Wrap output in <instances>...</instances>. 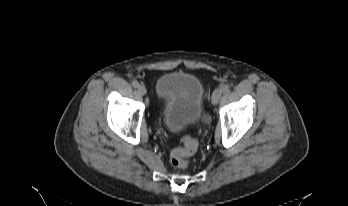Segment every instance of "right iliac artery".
Returning <instances> with one entry per match:
<instances>
[{"label":"right iliac artery","mask_w":348,"mask_h":206,"mask_svg":"<svg viewBox=\"0 0 348 206\" xmlns=\"http://www.w3.org/2000/svg\"><path fill=\"white\" fill-rule=\"evenodd\" d=\"M132 85H133V87L137 88L139 86V82L136 80H133Z\"/></svg>","instance_id":"1"}]
</instances>
